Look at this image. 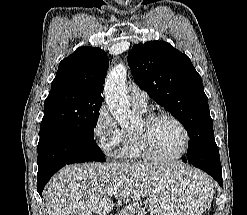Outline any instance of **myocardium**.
<instances>
[{"mask_svg": "<svg viewBox=\"0 0 247 215\" xmlns=\"http://www.w3.org/2000/svg\"><path fill=\"white\" fill-rule=\"evenodd\" d=\"M161 118H168L174 121L182 130L184 135V144L182 150L176 155H162L156 152L151 144L149 137V127L154 122ZM143 127L140 130L135 131V135L139 146L145 156L154 161H172L182 158L186 152L188 151L190 145V133L186 127V125L174 114L169 112H155L147 115L143 120Z\"/></svg>", "mask_w": 247, "mask_h": 215, "instance_id": "obj_1", "label": "myocardium"}]
</instances>
